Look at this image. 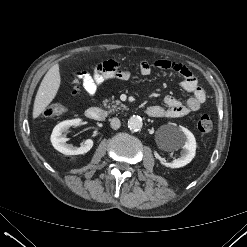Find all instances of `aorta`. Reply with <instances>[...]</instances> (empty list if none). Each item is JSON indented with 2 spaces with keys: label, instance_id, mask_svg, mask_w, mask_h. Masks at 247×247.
<instances>
[{
  "label": "aorta",
  "instance_id": "aorta-1",
  "mask_svg": "<svg viewBox=\"0 0 247 247\" xmlns=\"http://www.w3.org/2000/svg\"><path fill=\"white\" fill-rule=\"evenodd\" d=\"M143 126V122L140 116H131L128 120V128L131 131H139Z\"/></svg>",
  "mask_w": 247,
  "mask_h": 247
}]
</instances>
